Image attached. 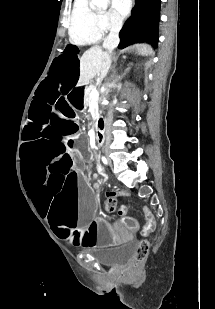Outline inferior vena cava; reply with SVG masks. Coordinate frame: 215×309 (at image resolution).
Segmentation results:
<instances>
[{
  "instance_id": "602c4592",
  "label": "inferior vena cava",
  "mask_w": 215,
  "mask_h": 309,
  "mask_svg": "<svg viewBox=\"0 0 215 309\" xmlns=\"http://www.w3.org/2000/svg\"><path fill=\"white\" fill-rule=\"evenodd\" d=\"M122 18L119 16V18H111V30L106 36L102 46L103 48H107L108 52H112L113 48H116L119 44V32L122 28ZM112 104H115V102H111L110 106ZM113 120V110H108L107 118L105 120V134H106V144H110L112 140V124Z\"/></svg>"
}]
</instances>
